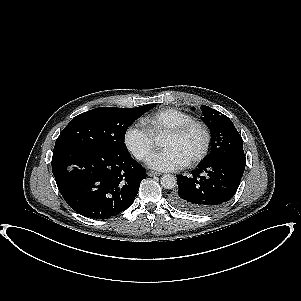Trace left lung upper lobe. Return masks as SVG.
<instances>
[{
  "mask_svg": "<svg viewBox=\"0 0 301 301\" xmlns=\"http://www.w3.org/2000/svg\"><path fill=\"white\" fill-rule=\"evenodd\" d=\"M201 110L202 120L212 133L211 151L204 162L226 151H243L242 138L227 116L206 105H202Z\"/></svg>",
  "mask_w": 301,
  "mask_h": 301,
  "instance_id": "1",
  "label": "left lung upper lobe"
}]
</instances>
